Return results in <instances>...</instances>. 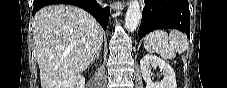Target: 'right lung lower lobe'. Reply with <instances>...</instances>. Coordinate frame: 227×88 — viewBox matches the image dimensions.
<instances>
[{"label":"right lung lower lobe","mask_w":227,"mask_h":88,"mask_svg":"<svg viewBox=\"0 0 227 88\" xmlns=\"http://www.w3.org/2000/svg\"><path fill=\"white\" fill-rule=\"evenodd\" d=\"M54 3H66L78 6L91 13L104 30L107 29L110 8H101L98 4H96L95 0H34V8L32 15L34 16V14L42 7Z\"/></svg>","instance_id":"right-lung-lower-lobe-1"}]
</instances>
